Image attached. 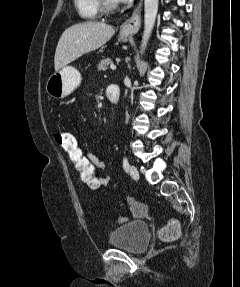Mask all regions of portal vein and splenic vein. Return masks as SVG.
Masks as SVG:
<instances>
[{
	"label": "portal vein and splenic vein",
	"instance_id": "portal-vein-and-splenic-vein-1",
	"mask_svg": "<svg viewBox=\"0 0 240 287\" xmlns=\"http://www.w3.org/2000/svg\"><path fill=\"white\" fill-rule=\"evenodd\" d=\"M110 68H111L112 70H116V66L113 65V64L110 65Z\"/></svg>",
	"mask_w": 240,
	"mask_h": 287
}]
</instances>
